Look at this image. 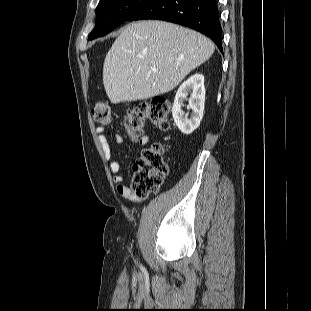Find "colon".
Here are the masks:
<instances>
[{"mask_svg": "<svg viewBox=\"0 0 311 311\" xmlns=\"http://www.w3.org/2000/svg\"><path fill=\"white\" fill-rule=\"evenodd\" d=\"M170 103L168 99L155 96L129 109L124 116V128L133 138L143 136L145 124L151 122L166 131L170 128ZM94 121L101 126L112 123V110L106 101H99L92 109ZM163 146L154 143L145 148L134 166L131 189L139 196L158 190L168 176V166L163 158Z\"/></svg>", "mask_w": 311, "mask_h": 311, "instance_id": "5ec220e1", "label": "colon"}]
</instances>
